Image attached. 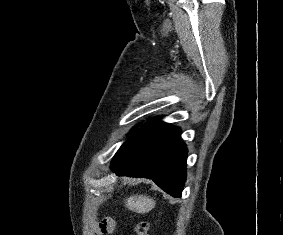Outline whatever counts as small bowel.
<instances>
[{
    "mask_svg": "<svg viewBox=\"0 0 283 235\" xmlns=\"http://www.w3.org/2000/svg\"><path fill=\"white\" fill-rule=\"evenodd\" d=\"M99 230L102 235H111L114 230V222L109 218L101 220L99 223Z\"/></svg>",
    "mask_w": 283,
    "mask_h": 235,
    "instance_id": "1",
    "label": "small bowel"
}]
</instances>
